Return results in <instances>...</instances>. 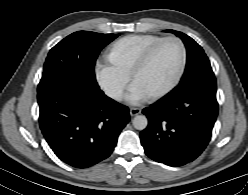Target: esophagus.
Masks as SVG:
<instances>
[{
    "mask_svg": "<svg viewBox=\"0 0 248 195\" xmlns=\"http://www.w3.org/2000/svg\"><path fill=\"white\" fill-rule=\"evenodd\" d=\"M140 112H141V110H140L139 108H131V109H130V114H131L132 116L137 115V114H139Z\"/></svg>",
    "mask_w": 248,
    "mask_h": 195,
    "instance_id": "obj_1",
    "label": "esophagus"
}]
</instances>
